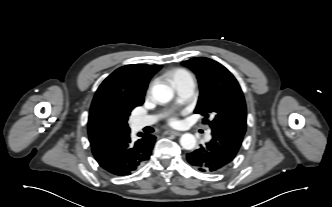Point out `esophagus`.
I'll return each mask as SVG.
<instances>
[{"mask_svg":"<svg viewBox=\"0 0 332 207\" xmlns=\"http://www.w3.org/2000/svg\"><path fill=\"white\" fill-rule=\"evenodd\" d=\"M165 134H168V135H176V136H180L182 133L181 132H178V131H174V130H166L164 132Z\"/></svg>","mask_w":332,"mask_h":207,"instance_id":"1","label":"esophagus"}]
</instances>
